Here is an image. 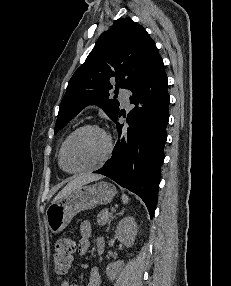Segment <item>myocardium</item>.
Instances as JSON below:
<instances>
[{"label":"myocardium","mask_w":231,"mask_h":286,"mask_svg":"<svg viewBox=\"0 0 231 286\" xmlns=\"http://www.w3.org/2000/svg\"><path fill=\"white\" fill-rule=\"evenodd\" d=\"M95 130L99 133H101L105 140H106V150L104 152V154L102 155L101 158H99L98 160L84 166V167H81L79 169H76V170H68L65 168L64 164H63V157H64V151H65V148L68 144V142L70 141V139L75 136L77 133L83 131V130ZM113 148H114V144H113V139L111 137V135L108 133V131L103 128L102 126L98 125V124H92V123H88V124H84V125H81L79 127H77L75 130H73L67 137L66 139L63 141L62 145H61V148H60V152H59V165L60 167L67 173H81V172H85V171H88L90 169H93V168H96L98 166H101L103 165L111 156L112 154V151H113Z\"/></svg>","instance_id":"1"}]
</instances>
